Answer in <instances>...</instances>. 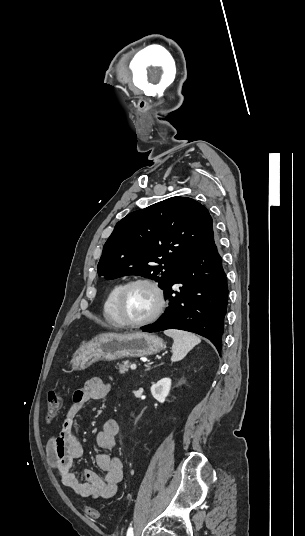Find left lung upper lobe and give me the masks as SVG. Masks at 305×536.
<instances>
[{
	"label": "left lung upper lobe",
	"mask_w": 305,
	"mask_h": 536,
	"mask_svg": "<svg viewBox=\"0 0 305 536\" xmlns=\"http://www.w3.org/2000/svg\"><path fill=\"white\" fill-rule=\"evenodd\" d=\"M212 224L207 208L188 197H171L132 212L106 241L98 275H141L165 288L213 236Z\"/></svg>",
	"instance_id": "obj_1"
}]
</instances>
